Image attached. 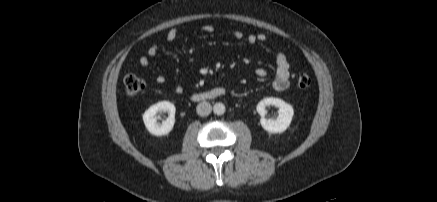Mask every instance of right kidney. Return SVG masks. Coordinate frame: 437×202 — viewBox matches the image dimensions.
<instances>
[{
  "label": "right kidney",
  "mask_w": 437,
  "mask_h": 202,
  "mask_svg": "<svg viewBox=\"0 0 437 202\" xmlns=\"http://www.w3.org/2000/svg\"><path fill=\"white\" fill-rule=\"evenodd\" d=\"M175 106L169 101L158 102L149 107L143 114L146 129L155 136H163L170 133L175 122ZM168 112L169 117L162 123L157 122L158 113Z\"/></svg>",
  "instance_id": "1"
}]
</instances>
